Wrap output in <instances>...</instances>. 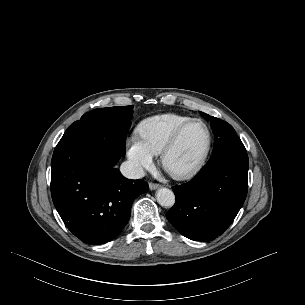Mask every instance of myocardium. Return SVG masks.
I'll return each instance as SVG.
<instances>
[{"label":"myocardium","mask_w":305,"mask_h":305,"mask_svg":"<svg viewBox=\"0 0 305 305\" xmlns=\"http://www.w3.org/2000/svg\"><path fill=\"white\" fill-rule=\"evenodd\" d=\"M194 124H202L207 130V142L199 159L189 168L175 171L169 166L168 160L172 153L178 148L185 132ZM212 146V131L209 125L201 119H192L178 129L171 141L163 149L160 158L163 169L176 180H186L195 176L205 165Z\"/></svg>","instance_id":"myocardium-1"}]
</instances>
